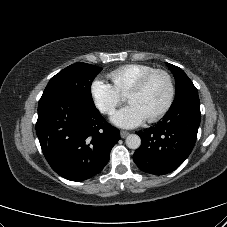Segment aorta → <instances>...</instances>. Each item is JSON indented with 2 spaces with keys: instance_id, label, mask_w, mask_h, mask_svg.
<instances>
[{
  "instance_id": "aorta-1",
  "label": "aorta",
  "mask_w": 227,
  "mask_h": 227,
  "mask_svg": "<svg viewBox=\"0 0 227 227\" xmlns=\"http://www.w3.org/2000/svg\"><path fill=\"white\" fill-rule=\"evenodd\" d=\"M125 142L127 147L130 149H138L141 145V139L136 134H129Z\"/></svg>"
}]
</instances>
